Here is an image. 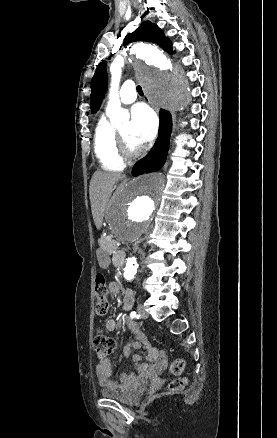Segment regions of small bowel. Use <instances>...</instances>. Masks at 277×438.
Segmentation results:
<instances>
[{
  "mask_svg": "<svg viewBox=\"0 0 277 438\" xmlns=\"http://www.w3.org/2000/svg\"><path fill=\"white\" fill-rule=\"evenodd\" d=\"M110 293L116 295L118 292V287L115 283L109 285ZM134 304V293L132 290H127L124 294L122 309L129 310ZM127 328L135 337V341L128 343L123 348V355L126 358H132L136 363V372L123 373L120 375L118 381L112 379V372L114 364L109 359L100 360L95 367V374L97 377L98 384L101 387L116 390V391H128L135 387L142 375L148 374L149 372H157L164 369L168 364V356L164 351H159L153 348L140 331L138 325L132 321L127 322ZM105 328L108 331H114L116 328V320L114 318H109L105 322ZM146 347L148 349V354L144 357L139 355H131L133 349H138L140 347ZM155 362L153 365L152 363Z\"/></svg>",
  "mask_w": 277,
  "mask_h": 438,
  "instance_id": "obj_1",
  "label": "small bowel"
}]
</instances>
